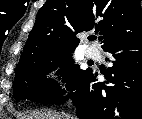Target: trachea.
I'll return each instance as SVG.
<instances>
[{
	"mask_svg": "<svg viewBox=\"0 0 142 119\" xmlns=\"http://www.w3.org/2000/svg\"><path fill=\"white\" fill-rule=\"evenodd\" d=\"M91 40H96V36L90 37Z\"/></svg>",
	"mask_w": 142,
	"mask_h": 119,
	"instance_id": "trachea-1",
	"label": "trachea"
}]
</instances>
